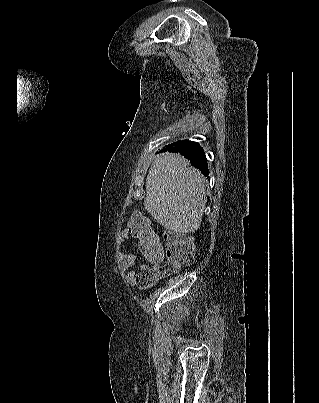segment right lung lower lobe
Instances as JSON below:
<instances>
[{"instance_id": "98d812e1", "label": "right lung lower lobe", "mask_w": 319, "mask_h": 403, "mask_svg": "<svg viewBox=\"0 0 319 403\" xmlns=\"http://www.w3.org/2000/svg\"><path fill=\"white\" fill-rule=\"evenodd\" d=\"M176 152L187 158L190 163L197 169H199L204 176H208V165L202 147L194 142L188 140H182L169 144L163 151Z\"/></svg>"}]
</instances>
